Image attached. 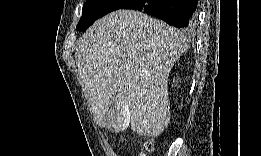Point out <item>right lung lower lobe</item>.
<instances>
[{"instance_id":"1","label":"right lung lower lobe","mask_w":261,"mask_h":156,"mask_svg":"<svg viewBox=\"0 0 261 156\" xmlns=\"http://www.w3.org/2000/svg\"><path fill=\"white\" fill-rule=\"evenodd\" d=\"M197 0H129L119 9L143 11L178 28H190L196 17Z\"/></svg>"}]
</instances>
